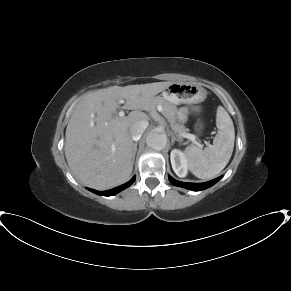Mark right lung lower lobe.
Wrapping results in <instances>:
<instances>
[{
    "instance_id": "right-lung-lower-lobe-1",
    "label": "right lung lower lobe",
    "mask_w": 291,
    "mask_h": 291,
    "mask_svg": "<svg viewBox=\"0 0 291 291\" xmlns=\"http://www.w3.org/2000/svg\"><path fill=\"white\" fill-rule=\"evenodd\" d=\"M135 181V177H133L130 181H128L127 183L121 185V186H118L116 188H113V189H110V190H107V191H96V190H93V189H89L90 191L98 194V195H103V196H110V195H114L118 192H120L121 190L129 187L133 182Z\"/></svg>"
}]
</instances>
